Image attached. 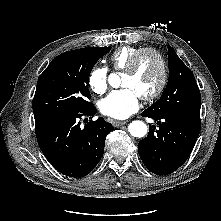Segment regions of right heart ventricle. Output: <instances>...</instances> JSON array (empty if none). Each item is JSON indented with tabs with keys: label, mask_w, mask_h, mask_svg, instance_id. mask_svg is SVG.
Masks as SVG:
<instances>
[{
	"label": "right heart ventricle",
	"mask_w": 221,
	"mask_h": 221,
	"mask_svg": "<svg viewBox=\"0 0 221 221\" xmlns=\"http://www.w3.org/2000/svg\"><path fill=\"white\" fill-rule=\"evenodd\" d=\"M142 47L122 46L116 49L110 56L112 67L116 71H124L134 54Z\"/></svg>",
	"instance_id": "1"
}]
</instances>
